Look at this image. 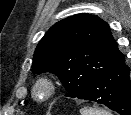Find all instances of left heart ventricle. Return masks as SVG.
<instances>
[{
	"label": "left heart ventricle",
	"instance_id": "b2bd125f",
	"mask_svg": "<svg viewBox=\"0 0 131 115\" xmlns=\"http://www.w3.org/2000/svg\"><path fill=\"white\" fill-rule=\"evenodd\" d=\"M39 95H40V96L43 95V90H40Z\"/></svg>",
	"mask_w": 131,
	"mask_h": 115
}]
</instances>
